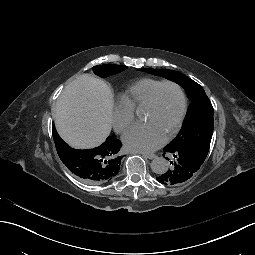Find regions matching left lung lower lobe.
<instances>
[{"instance_id":"0a47b994","label":"left lung lower lobe","mask_w":255,"mask_h":255,"mask_svg":"<svg viewBox=\"0 0 255 255\" xmlns=\"http://www.w3.org/2000/svg\"><path fill=\"white\" fill-rule=\"evenodd\" d=\"M163 155L169 158L167 163L169 170L156 178L158 183H183L193 176L194 171L200 173V166L196 164L194 154L182 150L164 149Z\"/></svg>"}]
</instances>
